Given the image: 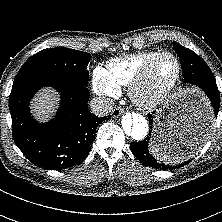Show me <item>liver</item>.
Segmentation results:
<instances>
[{
	"label": "liver",
	"instance_id": "6515ba94",
	"mask_svg": "<svg viewBox=\"0 0 222 222\" xmlns=\"http://www.w3.org/2000/svg\"><path fill=\"white\" fill-rule=\"evenodd\" d=\"M59 95L52 89H43L32 101V112L40 120L46 121L54 113Z\"/></svg>",
	"mask_w": 222,
	"mask_h": 222
}]
</instances>
